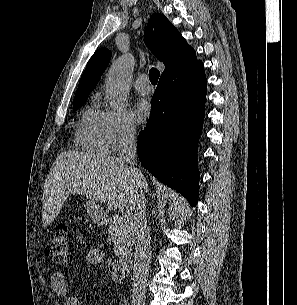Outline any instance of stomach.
Masks as SVG:
<instances>
[{
  "mask_svg": "<svg viewBox=\"0 0 297 305\" xmlns=\"http://www.w3.org/2000/svg\"><path fill=\"white\" fill-rule=\"evenodd\" d=\"M87 212L90 218L97 224L103 223L105 220V214L102 208L95 202L89 200L86 203Z\"/></svg>",
  "mask_w": 297,
  "mask_h": 305,
  "instance_id": "0dacf381",
  "label": "stomach"
}]
</instances>
